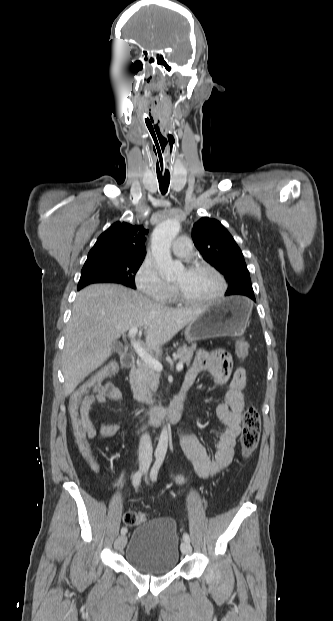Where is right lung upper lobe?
<instances>
[{"instance_id": "1", "label": "right lung upper lobe", "mask_w": 333, "mask_h": 621, "mask_svg": "<svg viewBox=\"0 0 333 621\" xmlns=\"http://www.w3.org/2000/svg\"><path fill=\"white\" fill-rule=\"evenodd\" d=\"M148 230L142 225L125 222L112 224L102 233L88 253L86 261L102 259L143 260L145 257V235Z\"/></svg>"}]
</instances>
